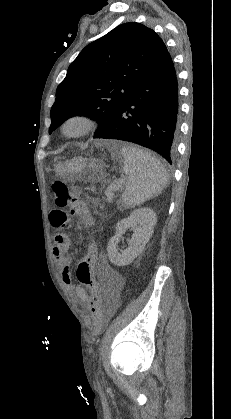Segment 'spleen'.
Masks as SVG:
<instances>
[{"label":"spleen","instance_id":"1","mask_svg":"<svg viewBox=\"0 0 231 419\" xmlns=\"http://www.w3.org/2000/svg\"><path fill=\"white\" fill-rule=\"evenodd\" d=\"M121 152L126 175L123 203L134 207L160 194L169 179L163 164L151 153L136 146H124Z\"/></svg>","mask_w":231,"mask_h":419}]
</instances>
